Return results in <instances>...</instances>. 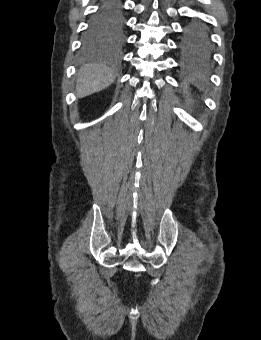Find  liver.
I'll use <instances>...</instances> for the list:
<instances>
[{
  "label": "liver",
  "instance_id": "obj_1",
  "mask_svg": "<svg viewBox=\"0 0 261 340\" xmlns=\"http://www.w3.org/2000/svg\"><path fill=\"white\" fill-rule=\"evenodd\" d=\"M115 77V72L103 64L86 65L78 73L77 95L85 97L99 92L111 85Z\"/></svg>",
  "mask_w": 261,
  "mask_h": 340
}]
</instances>
